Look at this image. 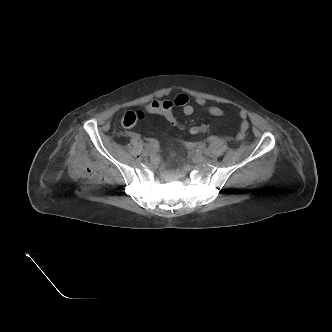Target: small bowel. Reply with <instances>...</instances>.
<instances>
[{"label":"small bowel","instance_id":"small-bowel-1","mask_svg":"<svg viewBox=\"0 0 332 332\" xmlns=\"http://www.w3.org/2000/svg\"><path fill=\"white\" fill-rule=\"evenodd\" d=\"M166 101L170 102L173 107H180L185 116H191L194 113V106L192 105L189 96L186 94H178L173 100H166ZM194 101L198 107L204 109L207 113H209L212 116L220 117L224 114L223 109H221L218 106L208 105L207 101L204 98L198 97ZM239 118L241 119V122L239 125L238 132L236 134V139L242 140L245 137L246 132L249 128L247 113L245 111H241L239 113ZM182 142L188 148L194 146V143L192 142L186 140H183Z\"/></svg>","mask_w":332,"mask_h":332}]
</instances>
